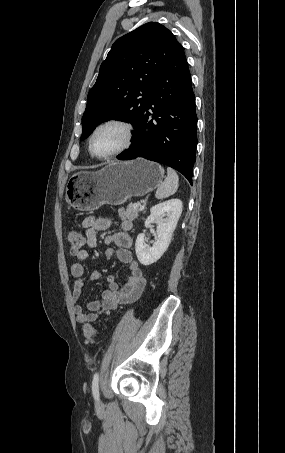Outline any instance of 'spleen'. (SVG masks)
<instances>
[{"label": "spleen", "instance_id": "1", "mask_svg": "<svg viewBox=\"0 0 285 453\" xmlns=\"http://www.w3.org/2000/svg\"><path fill=\"white\" fill-rule=\"evenodd\" d=\"M178 185L179 177L177 173L173 169L167 168V177L164 182L158 186L155 197L157 199H164L173 195L177 191Z\"/></svg>", "mask_w": 285, "mask_h": 453}]
</instances>
